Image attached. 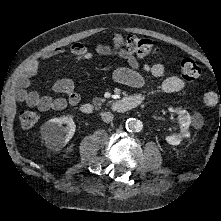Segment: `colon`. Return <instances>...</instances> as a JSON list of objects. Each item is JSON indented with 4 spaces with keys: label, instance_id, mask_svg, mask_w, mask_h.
Returning <instances> with one entry per match:
<instances>
[{
    "label": "colon",
    "instance_id": "colon-1",
    "mask_svg": "<svg viewBox=\"0 0 221 221\" xmlns=\"http://www.w3.org/2000/svg\"><path fill=\"white\" fill-rule=\"evenodd\" d=\"M108 48L139 56L157 55L159 53V48L149 39L119 34L112 37ZM180 73L184 79L194 81L199 78L201 70L193 59H184L180 65ZM201 100L206 107H213L218 103L221 104V96L212 89H204ZM19 121L23 128H33L39 121V114L34 110H25L20 114Z\"/></svg>",
    "mask_w": 221,
    "mask_h": 221
}]
</instances>
